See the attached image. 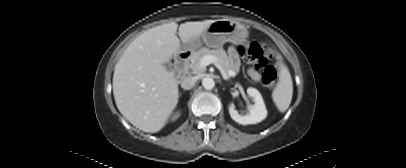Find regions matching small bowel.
<instances>
[{"instance_id":"small-bowel-1","label":"small bowel","mask_w":406,"mask_h":168,"mask_svg":"<svg viewBox=\"0 0 406 168\" xmlns=\"http://www.w3.org/2000/svg\"><path fill=\"white\" fill-rule=\"evenodd\" d=\"M228 58H229V60H230V62H231V64H232V67H233L234 69H236V68H237V62H238V53H237V50H236L234 47H230V48L228 49ZM249 73H250L251 77H252L255 81H258V80H259L260 75L258 74V72H256V71L253 70V69H250V70H249Z\"/></svg>"}]
</instances>
